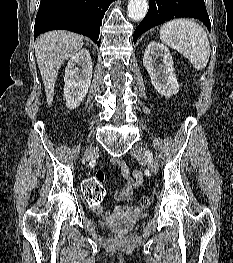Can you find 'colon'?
I'll return each mask as SVG.
<instances>
[{
    "instance_id": "5ec220e1",
    "label": "colon",
    "mask_w": 233,
    "mask_h": 263,
    "mask_svg": "<svg viewBox=\"0 0 233 263\" xmlns=\"http://www.w3.org/2000/svg\"><path fill=\"white\" fill-rule=\"evenodd\" d=\"M93 177L83 178L82 186L84 187L85 199L88 200V208H97L104 196L103 179L106 172L103 169H93ZM151 200L148 196H143L140 199L142 207H148Z\"/></svg>"
}]
</instances>
